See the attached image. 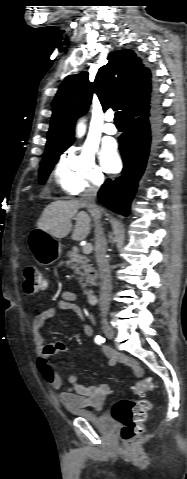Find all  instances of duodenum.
Masks as SVG:
<instances>
[{"label":"duodenum","instance_id":"410a0bca","mask_svg":"<svg viewBox=\"0 0 187 479\" xmlns=\"http://www.w3.org/2000/svg\"><path fill=\"white\" fill-rule=\"evenodd\" d=\"M86 298H87V302L91 305H94L97 303V294L94 292V291H88L86 293Z\"/></svg>","mask_w":187,"mask_h":479}]
</instances>
